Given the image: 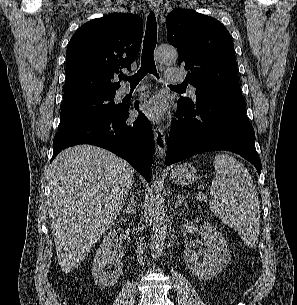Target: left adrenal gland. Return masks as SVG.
Instances as JSON below:
<instances>
[{
    "label": "left adrenal gland",
    "instance_id": "left-adrenal-gland-1",
    "mask_svg": "<svg viewBox=\"0 0 297 305\" xmlns=\"http://www.w3.org/2000/svg\"><path fill=\"white\" fill-rule=\"evenodd\" d=\"M186 198H188V196H181V194L179 192L178 195H177V200H176L175 208L176 209L179 208Z\"/></svg>",
    "mask_w": 297,
    "mask_h": 305
}]
</instances>
